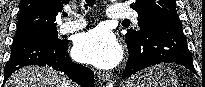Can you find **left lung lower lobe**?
<instances>
[{"instance_id": "0a47b994", "label": "left lung lower lobe", "mask_w": 205, "mask_h": 87, "mask_svg": "<svg viewBox=\"0 0 205 87\" xmlns=\"http://www.w3.org/2000/svg\"><path fill=\"white\" fill-rule=\"evenodd\" d=\"M129 60L122 78L159 63H178L195 72L192 55L177 14L162 15L149 24L144 38L127 44Z\"/></svg>"}]
</instances>
